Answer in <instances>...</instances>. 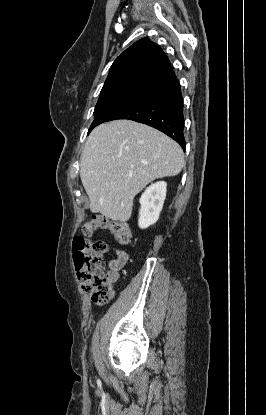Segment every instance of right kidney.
<instances>
[{"mask_svg": "<svg viewBox=\"0 0 266 415\" xmlns=\"http://www.w3.org/2000/svg\"><path fill=\"white\" fill-rule=\"evenodd\" d=\"M167 183L164 181L151 184L140 198L139 227L145 229L157 222L166 197Z\"/></svg>", "mask_w": 266, "mask_h": 415, "instance_id": "1", "label": "right kidney"}]
</instances>
